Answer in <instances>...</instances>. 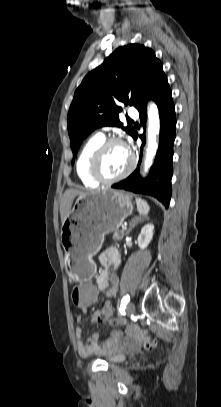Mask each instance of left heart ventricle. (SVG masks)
Returning <instances> with one entry per match:
<instances>
[{
	"label": "left heart ventricle",
	"mask_w": 221,
	"mask_h": 407,
	"mask_svg": "<svg viewBox=\"0 0 221 407\" xmlns=\"http://www.w3.org/2000/svg\"><path fill=\"white\" fill-rule=\"evenodd\" d=\"M130 163V155L127 148L121 144H113L105 151L101 163V173L108 178L123 173Z\"/></svg>",
	"instance_id": "1"
}]
</instances>
